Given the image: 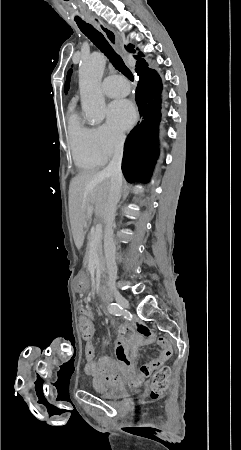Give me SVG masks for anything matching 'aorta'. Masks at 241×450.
Masks as SVG:
<instances>
[{"mask_svg":"<svg viewBox=\"0 0 241 450\" xmlns=\"http://www.w3.org/2000/svg\"><path fill=\"white\" fill-rule=\"evenodd\" d=\"M105 64L104 56L94 53L84 58L79 67L82 109L91 124L100 123L105 118L106 104L100 91Z\"/></svg>","mask_w":241,"mask_h":450,"instance_id":"obj_1","label":"aorta"}]
</instances>
